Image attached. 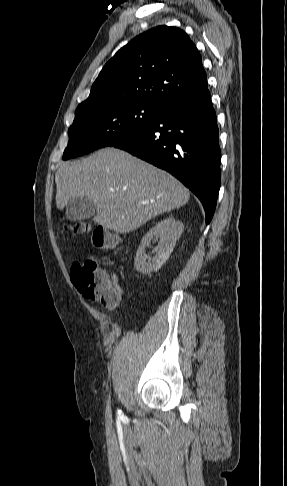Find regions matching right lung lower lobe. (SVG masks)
Returning <instances> with one entry per match:
<instances>
[{
	"mask_svg": "<svg viewBox=\"0 0 287 486\" xmlns=\"http://www.w3.org/2000/svg\"><path fill=\"white\" fill-rule=\"evenodd\" d=\"M217 118L207 87L181 96L140 134L114 145L179 179L202 202L206 223L214 214L221 173Z\"/></svg>",
	"mask_w": 287,
	"mask_h": 486,
	"instance_id": "right-lung-lower-lobe-1",
	"label": "right lung lower lobe"
}]
</instances>
